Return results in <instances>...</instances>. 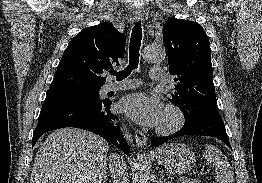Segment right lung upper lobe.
Returning a JSON list of instances; mask_svg holds the SVG:
<instances>
[{"label": "right lung upper lobe", "mask_w": 262, "mask_h": 183, "mask_svg": "<svg viewBox=\"0 0 262 183\" xmlns=\"http://www.w3.org/2000/svg\"><path fill=\"white\" fill-rule=\"evenodd\" d=\"M126 38L111 23L82 30L67 46L47 92L101 88L103 72L119 64Z\"/></svg>", "instance_id": "obj_1"}]
</instances>
